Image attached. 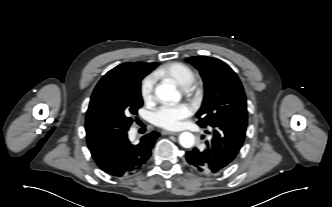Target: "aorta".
Returning a JSON list of instances; mask_svg holds the SVG:
<instances>
[{"instance_id":"762f6f07","label":"aorta","mask_w":332,"mask_h":207,"mask_svg":"<svg viewBox=\"0 0 332 207\" xmlns=\"http://www.w3.org/2000/svg\"><path fill=\"white\" fill-rule=\"evenodd\" d=\"M157 98L162 102H178L181 99L180 92L169 83H161L155 89ZM179 143L184 148H191L195 144V137L191 132H182L179 135Z\"/></svg>"}]
</instances>
